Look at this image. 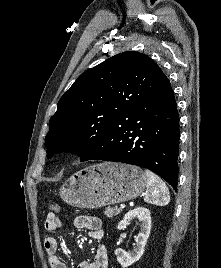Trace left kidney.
<instances>
[{
    "label": "left kidney",
    "instance_id": "obj_1",
    "mask_svg": "<svg viewBox=\"0 0 221 268\" xmlns=\"http://www.w3.org/2000/svg\"><path fill=\"white\" fill-rule=\"evenodd\" d=\"M134 218H138L141 222V230L136 238V245L134 249L130 252H126L121 248H117L115 250V255L117 257V261L123 268H127L136 261H138L144 253L145 245L147 243V239L150 235L151 230V216L150 211L144 207H138L133 210H130L123 218L122 221L119 222L117 229L122 230L126 228L131 220Z\"/></svg>",
    "mask_w": 221,
    "mask_h": 268
}]
</instances>
